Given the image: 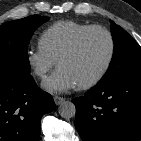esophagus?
Masks as SVG:
<instances>
[{
    "mask_svg": "<svg viewBox=\"0 0 141 141\" xmlns=\"http://www.w3.org/2000/svg\"><path fill=\"white\" fill-rule=\"evenodd\" d=\"M53 99H54V102H55L56 105H60L65 100L64 98L58 97V96H55Z\"/></svg>",
    "mask_w": 141,
    "mask_h": 141,
    "instance_id": "34e87169",
    "label": "esophagus"
}]
</instances>
